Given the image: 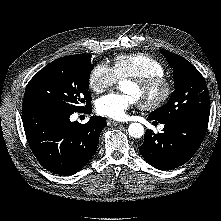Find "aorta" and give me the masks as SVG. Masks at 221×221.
<instances>
[{"instance_id":"1","label":"aorta","mask_w":221,"mask_h":221,"mask_svg":"<svg viewBox=\"0 0 221 221\" xmlns=\"http://www.w3.org/2000/svg\"><path fill=\"white\" fill-rule=\"evenodd\" d=\"M128 133L134 138H140L144 134V127L140 123H131L128 127Z\"/></svg>"}]
</instances>
